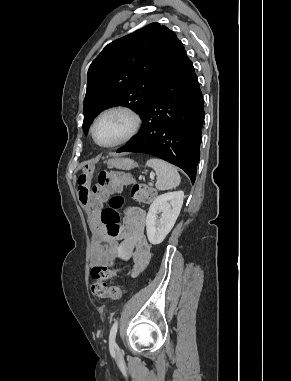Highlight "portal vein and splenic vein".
<instances>
[{
  "mask_svg": "<svg viewBox=\"0 0 291 381\" xmlns=\"http://www.w3.org/2000/svg\"><path fill=\"white\" fill-rule=\"evenodd\" d=\"M154 176H155V175H154V174H152V175L150 176V178H151L152 180H154Z\"/></svg>",
  "mask_w": 291,
  "mask_h": 381,
  "instance_id": "obj_1",
  "label": "portal vein and splenic vein"
}]
</instances>
